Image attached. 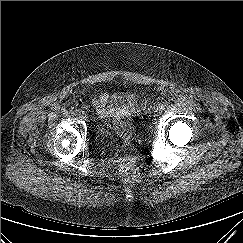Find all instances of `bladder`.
<instances>
[{"instance_id":"31cf9c89","label":"bladder","mask_w":243,"mask_h":243,"mask_svg":"<svg viewBox=\"0 0 243 243\" xmlns=\"http://www.w3.org/2000/svg\"><path fill=\"white\" fill-rule=\"evenodd\" d=\"M139 137V131L136 128L121 131L108 123L99 124L95 129V140L100 145H110L119 143L126 138L133 140Z\"/></svg>"}]
</instances>
